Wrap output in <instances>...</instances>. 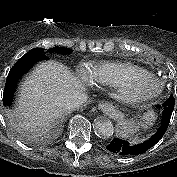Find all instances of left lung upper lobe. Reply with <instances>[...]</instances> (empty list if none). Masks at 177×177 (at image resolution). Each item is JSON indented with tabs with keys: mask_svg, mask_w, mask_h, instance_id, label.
Instances as JSON below:
<instances>
[{
	"mask_svg": "<svg viewBox=\"0 0 177 177\" xmlns=\"http://www.w3.org/2000/svg\"><path fill=\"white\" fill-rule=\"evenodd\" d=\"M166 103H171L172 105H174L175 104V99H174V97H173V95H170V97L166 100Z\"/></svg>",
	"mask_w": 177,
	"mask_h": 177,
	"instance_id": "left-lung-upper-lobe-1",
	"label": "left lung upper lobe"
}]
</instances>
